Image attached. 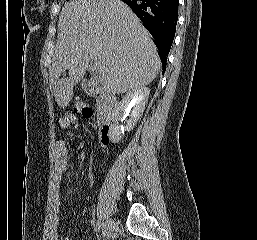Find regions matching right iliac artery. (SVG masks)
I'll list each match as a JSON object with an SVG mask.
<instances>
[{
  "label": "right iliac artery",
  "instance_id": "obj_1",
  "mask_svg": "<svg viewBox=\"0 0 257 240\" xmlns=\"http://www.w3.org/2000/svg\"><path fill=\"white\" fill-rule=\"evenodd\" d=\"M101 226H102V223H101V221H97V223H96V231H100V229H101Z\"/></svg>",
  "mask_w": 257,
  "mask_h": 240
}]
</instances>
